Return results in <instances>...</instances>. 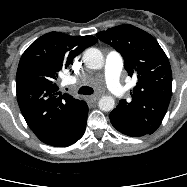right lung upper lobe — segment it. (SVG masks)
<instances>
[{
    "label": "right lung upper lobe",
    "instance_id": "1",
    "mask_svg": "<svg viewBox=\"0 0 187 187\" xmlns=\"http://www.w3.org/2000/svg\"><path fill=\"white\" fill-rule=\"evenodd\" d=\"M98 40L94 36L44 34L23 53L16 75L17 100L30 129L44 143L65 132L87 105L58 92V73Z\"/></svg>",
    "mask_w": 187,
    "mask_h": 187
}]
</instances>
